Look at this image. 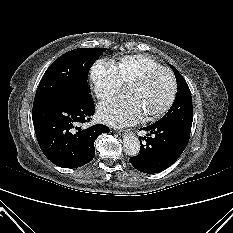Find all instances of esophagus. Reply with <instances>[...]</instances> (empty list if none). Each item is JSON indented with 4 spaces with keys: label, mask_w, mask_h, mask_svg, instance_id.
Segmentation results:
<instances>
[{
    "label": "esophagus",
    "mask_w": 233,
    "mask_h": 233,
    "mask_svg": "<svg viewBox=\"0 0 233 233\" xmlns=\"http://www.w3.org/2000/svg\"><path fill=\"white\" fill-rule=\"evenodd\" d=\"M126 133H131V131L130 130H119L118 131V134L121 136H124Z\"/></svg>",
    "instance_id": "34e87169"
}]
</instances>
